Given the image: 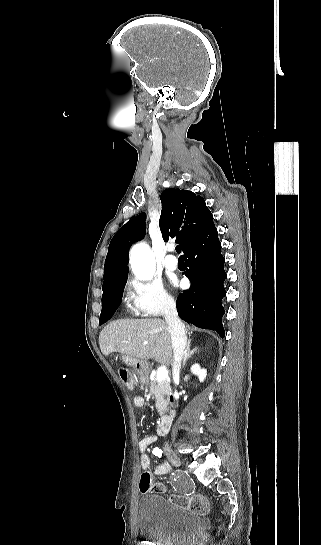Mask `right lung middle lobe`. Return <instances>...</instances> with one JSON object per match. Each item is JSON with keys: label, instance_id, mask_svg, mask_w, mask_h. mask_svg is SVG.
I'll return each mask as SVG.
<instances>
[{"label": "right lung middle lobe", "instance_id": "1", "mask_svg": "<svg viewBox=\"0 0 321 545\" xmlns=\"http://www.w3.org/2000/svg\"><path fill=\"white\" fill-rule=\"evenodd\" d=\"M126 280L127 278H125V280L120 283L119 285L111 288V289H108V290H103V295H102V312H101V315H100V320H99V324H103L105 323L106 321H108V319H106V315H105V305H106V301L111 297V296H121L122 295V292H123V289L125 287V283H126Z\"/></svg>", "mask_w": 321, "mask_h": 545}]
</instances>
